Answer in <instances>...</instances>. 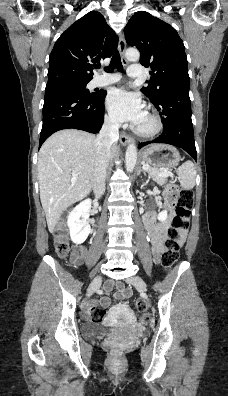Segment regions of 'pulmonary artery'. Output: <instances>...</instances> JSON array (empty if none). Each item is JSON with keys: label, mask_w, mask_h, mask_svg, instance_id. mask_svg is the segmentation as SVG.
Listing matches in <instances>:
<instances>
[{"label": "pulmonary artery", "mask_w": 228, "mask_h": 396, "mask_svg": "<svg viewBox=\"0 0 228 396\" xmlns=\"http://www.w3.org/2000/svg\"><path fill=\"white\" fill-rule=\"evenodd\" d=\"M129 77L140 78L143 75V71L139 65H130L127 71ZM121 79L119 74H104L94 78V86H105L118 82Z\"/></svg>", "instance_id": "e3ab8cb5"}]
</instances>
